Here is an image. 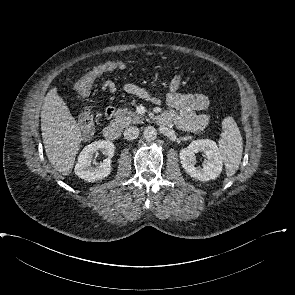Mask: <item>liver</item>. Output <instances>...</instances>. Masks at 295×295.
<instances>
[{"instance_id": "liver-1", "label": "liver", "mask_w": 295, "mask_h": 295, "mask_svg": "<svg viewBox=\"0 0 295 295\" xmlns=\"http://www.w3.org/2000/svg\"><path fill=\"white\" fill-rule=\"evenodd\" d=\"M41 131L45 152L51 165L64 176L70 174L82 135L77 121L55 87L44 98Z\"/></svg>"}]
</instances>
